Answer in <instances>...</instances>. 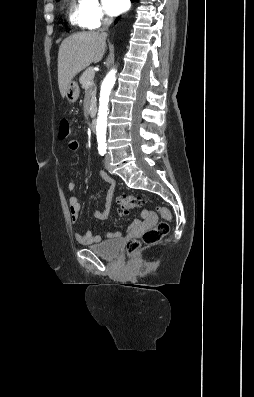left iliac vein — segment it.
<instances>
[{
    "instance_id": "4c4485c4",
    "label": "left iliac vein",
    "mask_w": 254,
    "mask_h": 397,
    "mask_svg": "<svg viewBox=\"0 0 254 397\" xmlns=\"http://www.w3.org/2000/svg\"><path fill=\"white\" fill-rule=\"evenodd\" d=\"M111 158H110V155L109 154H107L106 155V157H105V167H106V169L108 170V171H111Z\"/></svg>"
}]
</instances>
